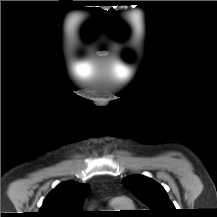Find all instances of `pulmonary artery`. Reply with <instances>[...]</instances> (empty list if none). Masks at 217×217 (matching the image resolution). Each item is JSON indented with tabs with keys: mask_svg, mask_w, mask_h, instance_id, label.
Returning <instances> with one entry per match:
<instances>
[{
	"mask_svg": "<svg viewBox=\"0 0 217 217\" xmlns=\"http://www.w3.org/2000/svg\"><path fill=\"white\" fill-rule=\"evenodd\" d=\"M114 200H123V198L118 197V198H115Z\"/></svg>",
	"mask_w": 217,
	"mask_h": 217,
	"instance_id": "1",
	"label": "pulmonary artery"
}]
</instances>
